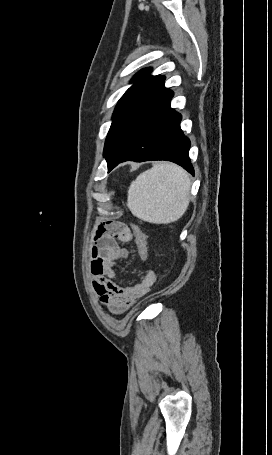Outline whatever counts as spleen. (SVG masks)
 Masks as SVG:
<instances>
[{"label":"spleen","instance_id":"3e777b00","mask_svg":"<svg viewBox=\"0 0 272 455\" xmlns=\"http://www.w3.org/2000/svg\"><path fill=\"white\" fill-rule=\"evenodd\" d=\"M190 187L184 169L173 163H157L131 182L127 207L135 217L146 222H175L189 206Z\"/></svg>","mask_w":272,"mask_h":455}]
</instances>
